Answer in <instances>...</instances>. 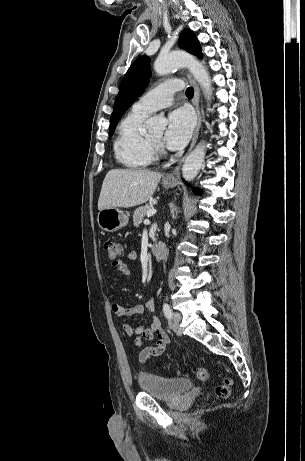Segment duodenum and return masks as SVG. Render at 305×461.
Returning a JSON list of instances; mask_svg holds the SVG:
<instances>
[{
    "label": "duodenum",
    "mask_w": 305,
    "mask_h": 461,
    "mask_svg": "<svg viewBox=\"0 0 305 461\" xmlns=\"http://www.w3.org/2000/svg\"><path fill=\"white\" fill-rule=\"evenodd\" d=\"M167 254V248L164 243H159L155 246V248L152 250V256L153 259L156 262H162Z\"/></svg>",
    "instance_id": "410a0bca"
}]
</instances>
